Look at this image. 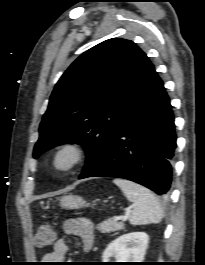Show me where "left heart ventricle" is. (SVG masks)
Masks as SVG:
<instances>
[{
	"instance_id": "1",
	"label": "left heart ventricle",
	"mask_w": 205,
	"mask_h": 265,
	"mask_svg": "<svg viewBox=\"0 0 205 265\" xmlns=\"http://www.w3.org/2000/svg\"><path fill=\"white\" fill-rule=\"evenodd\" d=\"M67 160H68V156L65 155V156L61 157L60 162L65 163Z\"/></svg>"
}]
</instances>
